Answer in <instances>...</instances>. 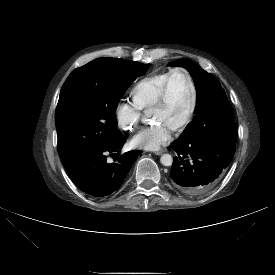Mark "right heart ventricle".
<instances>
[{
  "instance_id": "obj_1",
  "label": "right heart ventricle",
  "mask_w": 275,
  "mask_h": 275,
  "mask_svg": "<svg viewBox=\"0 0 275 275\" xmlns=\"http://www.w3.org/2000/svg\"><path fill=\"white\" fill-rule=\"evenodd\" d=\"M170 70L154 73L139 80L131 90L133 103L141 110L152 108Z\"/></svg>"
}]
</instances>
